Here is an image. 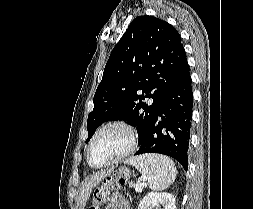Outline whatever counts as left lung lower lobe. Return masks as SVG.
<instances>
[{"instance_id":"0a47b994","label":"left lung lower lobe","mask_w":253,"mask_h":209,"mask_svg":"<svg viewBox=\"0 0 253 209\" xmlns=\"http://www.w3.org/2000/svg\"><path fill=\"white\" fill-rule=\"evenodd\" d=\"M187 59L167 88L162 107L135 155L160 153L176 159L188 169L193 92Z\"/></svg>"}]
</instances>
